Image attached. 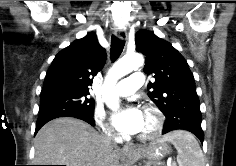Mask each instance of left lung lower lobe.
Instances as JSON below:
<instances>
[{
	"instance_id": "1",
	"label": "left lung lower lobe",
	"mask_w": 236,
	"mask_h": 166,
	"mask_svg": "<svg viewBox=\"0 0 236 166\" xmlns=\"http://www.w3.org/2000/svg\"><path fill=\"white\" fill-rule=\"evenodd\" d=\"M163 127V134L173 130H187L195 134L203 143L204 134L201 128L202 114L199 101L193 100L187 108L168 113Z\"/></svg>"
}]
</instances>
